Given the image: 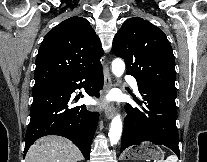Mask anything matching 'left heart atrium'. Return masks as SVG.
<instances>
[{
  "label": "left heart atrium",
  "instance_id": "39dd6f15",
  "mask_svg": "<svg viewBox=\"0 0 207 162\" xmlns=\"http://www.w3.org/2000/svg\"><path fill=\"white\" fill-rule=\"evenodd\" d=\"M107 102H108V101H107V100H105L103 103H104V104H106Z\"/></svg>",
  "mask_w": 207,
  "mask_h": 162
}]
</instances>
